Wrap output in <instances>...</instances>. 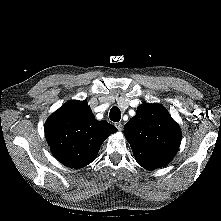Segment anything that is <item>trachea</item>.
I'll list each match as a JSON object with an SVG mask.
<instances>
[{
    "mask_svg": "<svg viewBox=\"0 0 221 221\" xmlns=\"http://www.w3.org/2000/svg\"><path fill=\"white\" fill-rule=\"evenodd\" d=\"M109 117L114 122H119L121 119V112L118 107L114 106L111 108Z\"/></svg>",
    "mask_w": 221,
    "mask_h": 221,
    "instance_id": "obj_1",
    "label": "trachea"
}]
</instances>
